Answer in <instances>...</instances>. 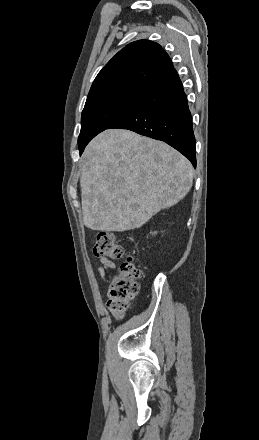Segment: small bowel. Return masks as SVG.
<instances>
[{"instance_id": "c3829d8e", "label": "small bowel", "mask_w": 259, "mask_h": 440, "mask_svg": "<svg viewBox=\"0 0 259 440\" xmlns=\"http://www.w3.org/2000/svg\"><path fill=\"white\" fill-rule=\"evenodd\" d=\"M114 268H115V264L113 263V261L107 258H102L100 261V265L97 267V272L99 273L100 276L111 280L112 278L109 272Z\"/></svg>"}]
</instances>
